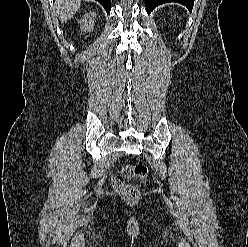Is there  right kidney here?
Listing matches in <instances>:
<instances>
[{"instance_id":"ca27d5eb","label":"right kidney","mask_w":248,"mask_h":247,"mask_svg":"<svg viewBox=\"0 0 248 247\" xmlns=\"http://www.w3.org/2000/svg\"><path fill=\"white\" fill-rule=\"evenodd\" d=\"M95 18H96V13H94V12L86 13L82 17V19L80 21H78V23L81 24V30H83V31L93 30Z\"/></svg>"}]
</instances>
